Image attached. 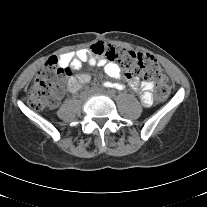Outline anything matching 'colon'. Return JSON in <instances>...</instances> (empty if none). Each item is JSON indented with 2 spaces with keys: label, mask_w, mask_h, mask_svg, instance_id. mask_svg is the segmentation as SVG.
Masks as SVG:
<instances>
[{
  "label": "colon",
  "mask_w": 207,
  "mask_h": 207,
  "mask_svg": "<svg viewBox=\"0 0 207 207\" xmlns=\"http://www.w3.org/2000/svg\"><path fill=\"white\" fill-rule=\"evenodd\" d=\"M92 50L95 54L103 55L109 61L120 65L125 78L139 76L147 83H158L157 102L168 97L167 76L157 60L150 54L104 43L94 44ZM70 75H72L70 68L62 67L56 56L50 57L31 85L28 95L30 107L36 110L54 107L59 100L61 82L64 77Z\"/></svg>",
  "instance_id": "colon-1"
}]
</instances>
